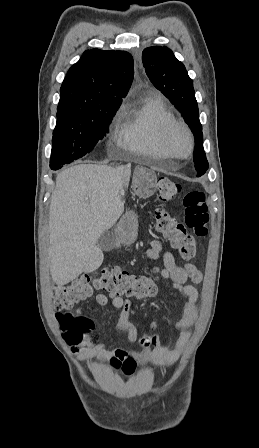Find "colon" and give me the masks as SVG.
<instances>
[{
    "instance_id": "5ec220e1",
    "label": "colon",
    "mask_w": 259,
    "mask_h": 448,
    "mask_svg": "<svg viewBox=\"0 0 259 448\" xmlns=\"http://www.w3.org/2000/svg\"><path fill=\"white\" fill-rule=\"evenodd\" d=\"M181 192V185L163 176L158 180V200L160 205L167 203ZM185 212L184 224L179 223L162 207L155 211V227L168 239L183 260L195 257L194 237L202 239L208 234L209 213L206 196L202 191H190L183 198ZM190 231L192 234H190ZM106 290L117 296L135 299L152 297L157 292V279L154 275L135 276L119 269H105L93 274H85L77 280L53 289V304L57 320L62 326L64 338L69 345L80 344L92 328V321L73 310L76 303L92 295L95 290ZM155 335H144L139 339L143 348L153 346Z\"/></svg>"
}]
</instances>
